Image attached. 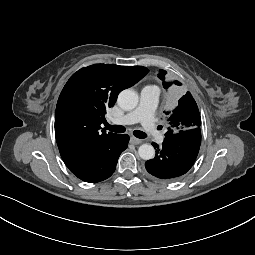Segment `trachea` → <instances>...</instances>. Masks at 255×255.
I'll return each instance as SVG.
<instances>
[{
    "instance_id": "trachea-1",
    "label": "trachea",
    "mask_w": 255,
    "mask_h": 255,
    "mask_svg": "<svg viewBox=\"0 0 255 255\" xmlns=\"http://www.w3.org/2000/svg\"><path fill=\"white\" fill-rule=\"evenodd\" d=\"M106 128L112 132H116V133H124L126 131V128L124 126L121 125H110V124H106ZM134 136L140 139H144L147 137L146 133L139 131V130H135L133 132Z\"/></svg>"
}]
</instances>
